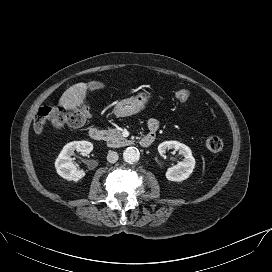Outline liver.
<instances>
[{
	"label": "liver",
	"mask_w": 272,
	"mask_h": 272,
	"mask_svg": "<svg viewBox=\"0 0 272 272\" xmlns=\"http://www.w3.org/2000/svg\"><path fill=\"white\" fill-rule=\"evenodd\" d=\"M87 85L85 83H77L69 87L60 97L58 107L63 109H76L83 105L86 98ZM53 111V114L59 112V108Z\"/></svg>",
	"instance_id": "liver-1"
}]
</instances>
